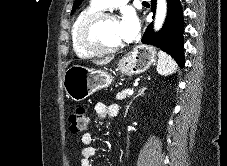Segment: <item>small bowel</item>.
Here are the masks:
<instances>
[{
	"label": "small bowel",
	"mask_w": 227,
	"mask_h": 166,
	"mask_svg": "<svg viewBox=\"0 0 227 166\" xmlns=\"http://www.w3.org/2000/svg\"><path fill=\"white\" fill-rule=\"evenodd\" d=\"M95 111L99 120H105L115 117L119 112V107L117 104L105 105L103 103H97L95 105ZM93 141V136L90 133L82 134L81 142L84 148L81 152L80 166H92L91 159L96 154V149L92 145Z\"/></svg>",
	"instance_id": "obj_1"
}]
</instances>
